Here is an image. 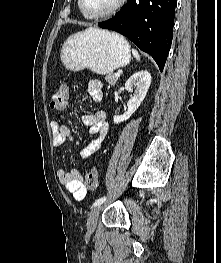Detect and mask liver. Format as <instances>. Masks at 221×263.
I'll return each mask as SVG.
<instances>
[{
  "instance_id": "liver-1",
  "label": "liver",
  "mask_w": 221,
  "mask_h": 263,
  "mask_svg": "<svg viewBox=\"0 0 221 263\" xmlns=\"http://www.w3.org/2000/svg\"><path fill=\"white\" fill-rule=\"evenodd\" d=\"M89 30H95L94 28H89Z\"/></svg>"
}]
</instances>
